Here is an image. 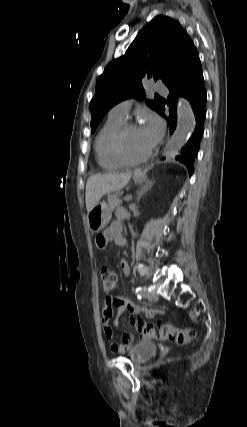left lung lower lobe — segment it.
I'll list each match as a JSON object with an SVG mask.
<instances>
[{
	"instance_id": "obj_1",
	"label": "left lung lower lobe",
	"mask_w": 247,
	"mask_h": 427,
	"mask_svg": "<svg viewBox=\"0 0 247 427\" xmlns=\"http://www.w3.org/2000/svg\"><path fill=\"white\" fill-rule=\"evenodd\" d=\"M167 87L169 89L170 95L167 102L165 103H167L170 108V114L169 116L165 115L164 106L161 107L159 113L167 120L170 133H173L176 128V99H178L179 96H183L188 99L195 115L196 126L191 137L182 150L174 155V158L184 163L189 169L190 174H192L193 163L198 153L200 141L203 136V123L206 117L205 103L207 100V95L204 87V78L199 56L181 76L168 84Z\"/></svg>"
}]
</instances>
